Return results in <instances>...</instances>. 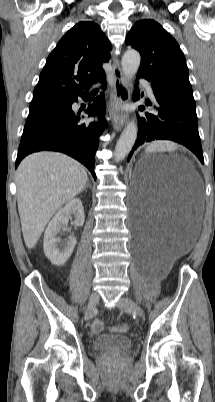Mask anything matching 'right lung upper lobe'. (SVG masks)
I'll use <instances>...</instances> for the list:
<instances>
[{
    "mask_svg": "<svg viewBox=\"0 0 215 402\" xmlns=\"http://www.w3.org/2000/svg\"><path fill=\"white\" fill-rule=\"evenodd\" d=\"M111 44L100 27L83 21L71 28L48 56L33 92V101L66 99L83 93L105 76L103 62Z\"/></svg>",
    "mask_w": 215,
    "mask_h": 402,
    "instance_id": "right-lung-upper-lobe-1",
    "label": "right lung upper lobe"
}]
</instances>
